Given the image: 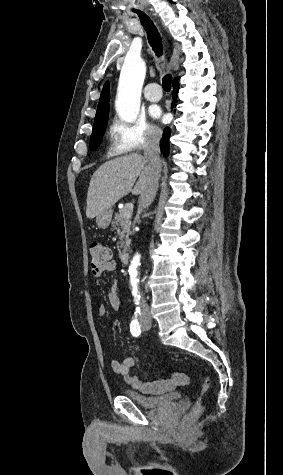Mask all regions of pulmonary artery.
Masks as SVG:
<instances>
[{
  "instance_id": "pulmonary-artery-1",
  "label": "pulmonary artery",
  "mask_w": 283,
  "mask_h": 475,
  "mask_svg": "<svg viewBox=\"0 0 283 475\" xmlns=\"http://www.w3.org/2000/svg\"><path fill=\"white\" fill-rule=\"evenodd\" d=\"M119 90H142V89H119ZM144 93L146 99L150 102H158L161 97H158L162 94V89L158 83H151L148 87L145 88Z\"/></svg>"
}]
</instances>
